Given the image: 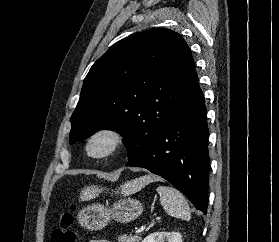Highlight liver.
I'll use <instances>...</instances> for the list:
<instances>
[{"mask_svg": "<svg viewBox=\"0 0 279 242\" xmlns=\"http://www.w3.org/2000/svg\"><path fill=\"white\" fill-rule=\"evenodd\" d=\"M152 181H153L152 177L145 176V177L139 178L137 180L128 182L125 185L126 193L137 192L138 190H140L141 188H143L144 186H146L147 184H149ZM100 191L101 190L97 186L87 187L82 191L81 199L82 200L90 199L91 197L96 196Z\"/></svg>", "mask_w": 279, "mask_h": 242, "instance_id": "6515ba94", "label": "liver"}]
</instances>
